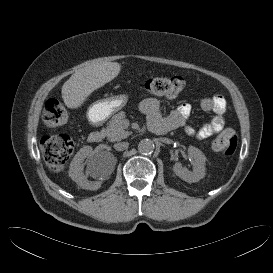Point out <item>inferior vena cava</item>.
I'll use <instances>...</instances> for the list:
<instances>
[{"instance_id": "inferior-vena-cava-1", "label": "inferior vena cava", "mask_w": 273, "mask_h": 273, "mask_svg": "<svg viewBox=\"0 0 273 273\" xmlns=\"http://www.w3.org/2000/svg\"><path fill=\"white\" fill-rule=\"evenodd\" d=\"M128 147H129V143H128V142H119V143H116V144L114 145V148H115L117 151L126 150Z\"/></svg>"}]
</instances>
